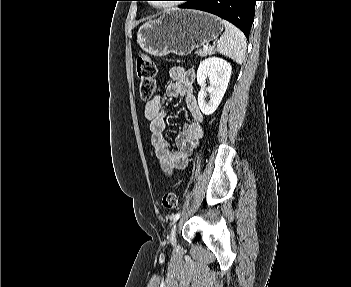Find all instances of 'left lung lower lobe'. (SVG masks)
Masks as SVG:
<instances>
[{"mask_svg":"<svg viewBox=\"0 0 351 287\" xmlns=\"http://www.w3.org/2000/svg\"><path fill=\"white\" fill-rule=\"evenodd\" d=\"M180 8L197 9L215 14L239 27L247 39L258 0H184Z\"/></svg>","mask_w":351,"mask_h":287,"instance_id":"0a47b994","label":"left lung lower lobe"}]
</instances>
